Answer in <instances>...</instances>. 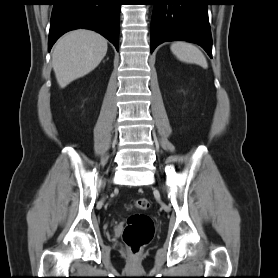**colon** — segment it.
<instances>
[{
  "instance_id": "5ec220e1",
  "label": "colon",
  "mask_w": 278,
  "mask_h": 278,
  "mask_svg": "<svg viewBox=\"0 0 278 278\" xmlns=\"http://www.w3.org/2000/svg\"><path fill=\"white\" fill-rule=\"evenodd\" d=\"M138 210H147L150 202L146 198H139L133 202ZM154 224L152 219L143 213L132 214L125 226L123 240L132 253H138L153 238Z\"/></svg>"
}]
</instances>
